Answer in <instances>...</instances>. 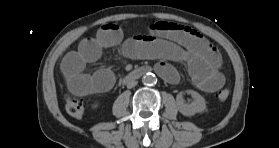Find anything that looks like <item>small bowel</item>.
Here are the masks:
<instances>
[{
  "label": "small bowel",
  "mask_w": 279,
  "mask_h": 148,
  "mask_svg": "<svg viewBox=\"0 0 279 148\" xmlns=\"http://www.w3.org/2000/svg\"><path fill=\"white\" fill-rule=\"evenodd\" d=\"M119 47L122 56L131 59H156L157 73L171 84L179 80L170 61L182 63L194 85L205 92H216L225 83L218 50L195 29L173 22L158 21L146 34L124 39L116 24H105L94 37L83 39L76 50L69 51L61 61V71L69 90L78 96L106 92L115 83V75L102 69L92 75L85 73L88 64L96 62L104 49Z\"/></svg>",
  "instance_id": "small-bowel-1"
}]
</instances>
